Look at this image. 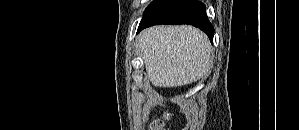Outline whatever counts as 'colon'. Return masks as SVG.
<instances>
[{"instance_id": "1", "label": "colon", "mask_w": 299, "mask_h": 130, "mask_svg": "<svg viewBox=\"0 0 299 130\" xmlns=\"http://www.w3.org/2000/svg\"><path fill=\"white\" fill-rule=\"evenodd\" d=\"M169 118L168 114H164V116L161 119H158L154 122L152 128L153 130H164V123Z\"/></svg>"}]
</instances>
